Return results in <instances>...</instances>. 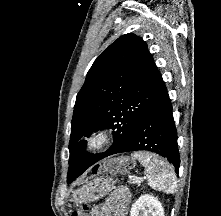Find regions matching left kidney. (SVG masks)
<instances>
[{
  "label": "left kidney",
  "mask_w": 221,
  "mask_h": 216,
  "mask_svg": "<svg viewBox=\"0 0 221 216\" xmlns=\"http://www.w3.org/2000/svg\"><path fill=\"white\" fill-rule=\"evenodd\" d=\"M130 216H164V209L157 197L145 194L132 205Z\"/></svg>",
  "instance_id": "5707ae66"
}]
</instances>
